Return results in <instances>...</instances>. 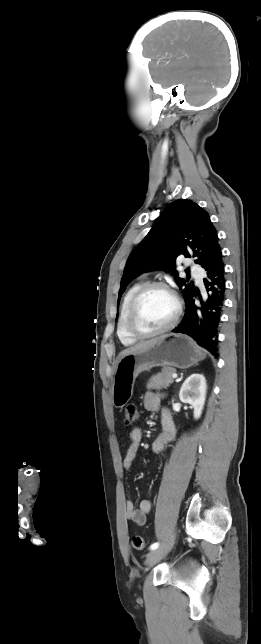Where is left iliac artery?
<instances>
[{
	"label": "left iliac artery",
	"mask_w": 261,
	"mask_h": 644,
	"mask_svg": "<svg viewBox=\"0 0 261 644\" xmlns=\"http://www.w3.org/2000/svg\"><path fill=\"white\" fill-rule=\"evenodd\" d=\"M158 547H159V543H158V542L153 543V544L150 546V550H155V549H157Z\"/></svg>",
	"instance_id": "44dca946"
}]
</instances>
